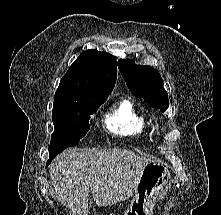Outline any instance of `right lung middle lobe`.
<instances>
[{
	"mask_svg": "<svg viewBox=\"0 0 221 215\" xmlns=\"http://www.w3.org/2000/svg\"><path fill=\"white\" fill-rule=\"evenodd\" d=\"M106 99L81 104L54 105L52 119L55 131L51 136L49 160L64 149L78 144L90 129L89 119Z\"/></svg>",
	"mask_w": 221,
	"mask_h": 215,
	"instance_id": "1",
	"label": "right lung middle lobe"
}]
</instances>
